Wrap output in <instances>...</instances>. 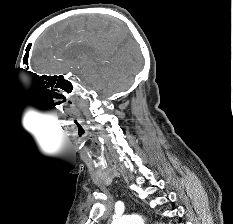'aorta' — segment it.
I'll return each mask as SVG.
<instances>
[{
	"label": "aorta",
	"instance_id": "762f6f07",
	"mask_svg": "<svg viewBox=\"0 0 233 224\" xmlns=\"http://www.w3.org/2000/svg\"><path fill=\"white\" fill-rule=\"evenodd\" d=\"M112 224H144V221L139 215H126L113 218Z\"/></svg>",
	"mask_w": 233,
	"mask_h": 224
}]
</instances>
